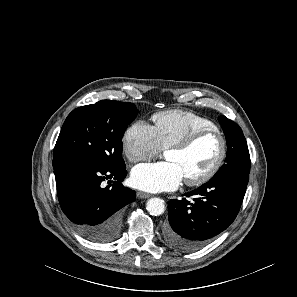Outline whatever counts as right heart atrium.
Listing matches in <instances>:
<instances>
[{
	"label": "right heart atrium",
	"instance_id": "1",
	"mask_svg": "<svg viewBox=\"0 0 297 297\" xmlns=\"http://www.w3.org/2000/svg\"><path fill=\"white\" fill-rule=\"evenodd\" d=\"M122 148L130 162L148 160L161 151L154 126L138 120L129 126L122 138Z\"/></svg>",
	"mask_w": 297,
	"mask_h": 297
}]
</instances>
